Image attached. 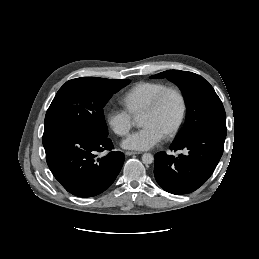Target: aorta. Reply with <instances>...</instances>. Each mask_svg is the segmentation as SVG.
Masks as SVG:
<instances>
[{"label": "aorta", "instance_id": "obj_1", "mask_svg": "<svg viewBox=\"0 0 259 259\" xmlns=\"http://www.w3.org/2000/svg\"><path fill=\"white\" fill-rule=\"evenodd\" d=\"M153 161H154V157H153L152 154H150V153H144V154L142 155V162H143L144 164H151V163H153Z\"/></svg>", "mask_w": 259, "mask_h": 259}]
</instances>
